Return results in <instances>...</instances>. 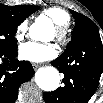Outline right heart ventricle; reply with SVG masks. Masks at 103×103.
Masks as SVG:
<instances>
[{"label": "right heart ventricle", "instance_id": "1", "mask_svg": "<svg viewBox=\"0 0 103 103\" xmlns=\"http://www.w3.org/2000/svg\"><path fill=\"white\" fill-rule=\"evenodd\" d=\"M44 14L47 15L56 25L65 26L70 21L69 14L60 7H50L44 10Z\"/></svg>", "mask_w": 103, "mask_h": 103}]
</instances>
